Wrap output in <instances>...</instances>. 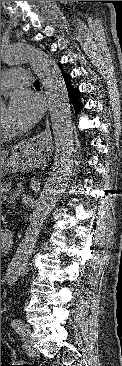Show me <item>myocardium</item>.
I'll return each mask as SVG.
<instances>
[{
  "instance_id": "1",
  "label": "myocardium",
  "mask_w": 122,
  "mask_h": 366,
  "mask_svg": "<svg viewBox=\"0 0 122 366\" xmlns=\"http://www.w3.org/2000/svg\"><path fill=\"white\" fill-rule=\"evenodd\" d=\"M11 137L12 136L9 133L1 132V142L5 141V140H9V139H11Z\"/></svg>"
}]
</instances>
